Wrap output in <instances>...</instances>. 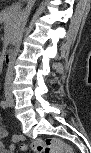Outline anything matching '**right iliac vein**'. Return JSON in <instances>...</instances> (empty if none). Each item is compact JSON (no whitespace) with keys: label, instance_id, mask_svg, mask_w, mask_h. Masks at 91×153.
Returning a JSON list of instances; mask_svg holds the SVG:
<instances>
[{"label":"right iliac vein","instance_id":"right-iliac-vein-1","mask_svg":"<svg viewBox=\"0 0 91 153\" xmlns=\"http://www.w3.org/2000/svg\"><path fill=\"white\" fill-rule=\"evenodd\" d=\"M6 100L10 105L15 104V99L9 91H7V93H6Z\"/></svg>","mask_w":91,"mask_h":153}]
</instances>
